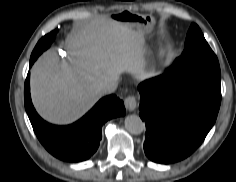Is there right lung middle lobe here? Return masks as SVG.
Instances as JSON below:
<instances>
[{
  "instance_id": "1",
  "label": "right lung middle lobe",
  "mask_w": 236,
  "mask_h": 182,
  "mask_svg": "<svg viewBox=\"0 0 236 182\" xmlns=\"http://www.w3.org/2000/svg\"><path fill=\"white\" fill-rule=\"evenodd\" d=\"M58 30H54L51 33L43 36L39 42L37 43V45L35 46L32 54H31V58L34 61L38 58V56L45 51L47 48L50 47L51 43L54 41L56 33Z\"/></svg>"
}]
</instances>
